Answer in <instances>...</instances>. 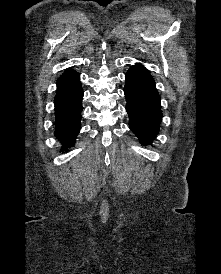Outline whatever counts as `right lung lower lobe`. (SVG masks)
<instances>
[{"instance_id":"right-lung-lower-lobe-1","label":"right lung lower lobe","mask_w":221,"mask_h":274,"mask_svg":"<svg viewBox=\"0 0 221 274\" xmlns=\"http://www.w3.org/2000/svg\"><path fill=\"white\" fill-rule=\"evenodd\" d=\"M83 90L79 73L66 70L57 80L55 96V132L54 135L66 150L74 144L81 128Z\"/></svg>"}]
</instances>
